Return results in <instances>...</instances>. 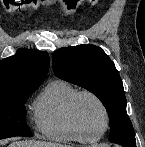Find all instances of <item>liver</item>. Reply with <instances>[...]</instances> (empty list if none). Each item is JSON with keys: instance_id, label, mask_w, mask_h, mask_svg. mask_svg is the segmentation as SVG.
<instances>
[{"instance_id": "6515ba94", "label": "liver", "mask_w": 145, "mask_h": 147, "mask_svg": "<svg viewBox=\"0 0 145 147\" xmlns=\"http://www.w3.org/2000/svg\"><path fill=\"white\" fill-rule=\"evenodd\" d=\"M9 147H67L62 144H56L51 142H44V141H17L13 142L9 145Z\"/></svg>"}]
</instances>
